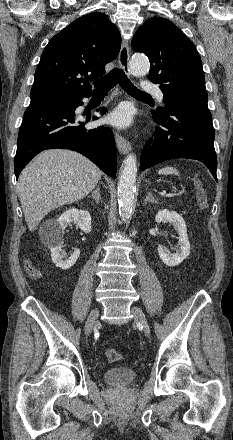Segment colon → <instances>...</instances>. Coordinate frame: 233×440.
<instances>
[{
	"label": "colon",
	"mask_w": 233,
	"mask_h": 440,
	"mask_svg": "<svg viewBox=\"0 0 233 440\" xmlns=\"http://www.w3.org/2000/svg\"><path fill=\"white\" fill-rule=\"evenodd\" d=\"M194 186L196 188L197 206L201 211H205L209 206L208 197L207 192L203 187L202 179L199 176L195 177ZM25 267L31 277H39V269L30 260L25 261ZM105 356L110 362H118L122 359V355L117 350L112 348L105 350Z\"/></svg>",
	"instance_id": "1"
}]
</instances>
